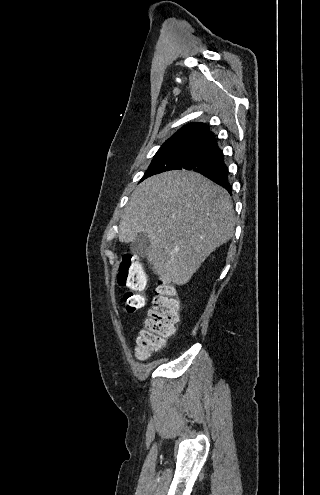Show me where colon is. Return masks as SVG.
Here are the masks:
<instances>
[{
	"mask_svg": "<svg viewBox=\"0 0 320 495\" xmlns=\"http://www.w3.org/2000/svg\"><path fill=\"white\" fill-rule=\"evenodd\" d=\"M148 281V275L140 261L131 254H124L118 269V283L128 289L122 296L127 312L133 313L144 307L143 291L147 288ZM179 310L180 303L175 288L168 282H160L137 338L135 353L138 359H146L162 348L165 339L175 333Z\"/></svg>",
	"mask_w": 320,
	"mask_h": 495,
	"instance_id": "5ec220e1",
	"label": "colon"
}]
</instances>
